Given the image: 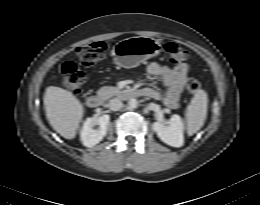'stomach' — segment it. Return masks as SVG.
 <instances>
[{
	"instance_id": "0dacf381",
	"label": "stomach",
	"mask_w": 260,
	"mask_h": 205,
	"mask_svg": "<svg viewBox=\"0 0 260 205\" xmlns=\"http://www.w3.org/2000/svg\"><path fill=\"white\" fill-rule=\"evenodd\" d=\"M160 52L161 44L158 40L143 36L126 38L113 48L115 64L124 68L136 67Z\"/></svg>"
}]
</instances>
